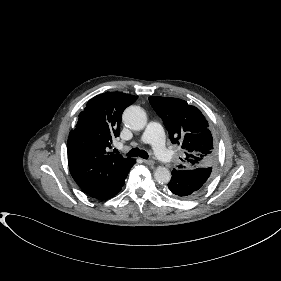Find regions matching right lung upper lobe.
I'll list each match as a JSON object with an SVG mask.
<instances>
[{
  "mask_svg": "<svg viewBox=\"0 0 281 281\" xmlns=\"http://www.w3.org/2000/svg\"><path fill=\"white\" fill-rule=\"evenodd\" d=\"M137 96L121 92L92 98L79 115L67 141L68 164L80 188L96 197L112 187L133 161L108 153L113 137L119 135L122 112Z\"/></svg>",
  "mask_w": 281,
  "mask_h": 281,
  "instance_id": "1",
  "label": "right lung upper lobe"
}]
</instances>
